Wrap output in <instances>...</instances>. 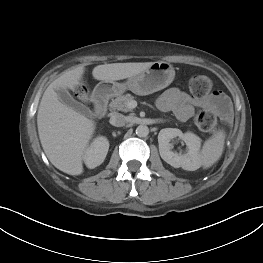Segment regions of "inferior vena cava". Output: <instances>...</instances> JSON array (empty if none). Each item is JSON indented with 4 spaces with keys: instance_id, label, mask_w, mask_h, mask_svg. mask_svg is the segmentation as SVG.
I'll return each instance as SVG.
<instances>
[{
    "instance_id": "inferior-vena-cava-1",
    "label": "inferior vena cava",
    "mask_w": 263,
    "mask_h": 263,
    "mask_svg": "<svg viewBox=\"0 0 263 263\" xmlns=\"http://www.w3.org/2000/svg\"><path fill=\"white\" fill-rule=\"evenodd\" d=\"M110 124L116 127H122L126 123V117L120 113H114L111 115Z\"/></svg>"
}]
</instances>
